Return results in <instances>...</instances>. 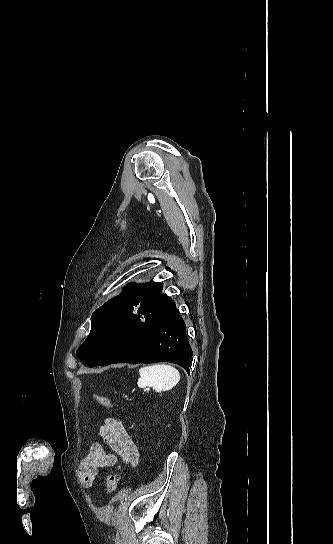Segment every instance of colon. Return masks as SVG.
I'll return each mask as SVG.
<instances>
[{"mask_svg":"<svg viewBox=\"0 0 333 544\" xmlns=\"http://www.w3.org/2000/svg\"><path fill=\"white\" fill-rule=\"evenodd\" d=\"M94 398L96 399V401L98 403H100L101 405L107 407V408H113L114 407V404L111 402V400L104 396V395H100V394H94L93 395ZM120 474L119 473H111L107 476L106 478V486H107V490L110 492V493H113L117 490L118 488V485H119V481H120Z\"/></svg>","mask_w":333,"mask_h":544,"instance_id":"colon-1","label":"colon"}]
</instances>
